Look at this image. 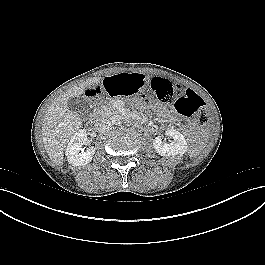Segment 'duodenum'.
Masks as SVG:
<instances>
[{
	"mask_svg": "<svg viewBox=\"0 0 265 265\" xmlns=\"http://www.w3.org/2000/svg\"><path fill=\"white\" fill-rule=\"evenodd\" d=\"M96 117H97V113L94 112V114H93V118H96Z\"/></svg>",
	"mask_w": 265,
	"mask_h": 265,
	"instance_id": "duodenum-1",
	"label": "duodenum"
}]
</instances>
